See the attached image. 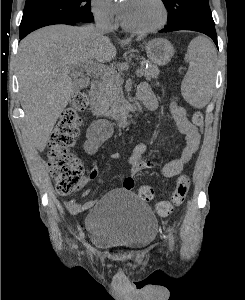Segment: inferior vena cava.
<instances>
[{
	"mask_svg": "<svg viewBox=\"0 0 245 300\" xmlns=\"http://www.w3.org/2000/svg\"><path fill=\"white\" fill-rule=\"evenodd\" d=\"M95 29L99 35H104L105 33L112 31L109 19L101 16L97 17Z\"/></svg>",
	"mask_w": 245,
	"mask_h": 300,
	"instance_id": "obj_1",
	"label": "inferior vena cava"
}]
</instances>
